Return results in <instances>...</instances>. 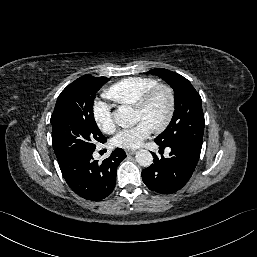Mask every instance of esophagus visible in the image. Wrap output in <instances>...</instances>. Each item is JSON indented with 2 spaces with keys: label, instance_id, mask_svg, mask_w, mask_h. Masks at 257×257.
I'll use <instances>...</instances> for the list:
<instances>
[{
  "label": "esophagus",
  "instance_id": "34e87169",
  "mask_svg": "<svg viewBox=\"0 0 257 257\" xmlns=\"http://www.w3.org/2000/svg\"><path fill=\"white\" fill-rule=\"evenodd\" d=\"M126 154H127L128 156H130V155H134V154H135V151H132V150H126Z\"/></svg>",
  "mask_w": 257,
  "mask_h": 257
}]
</instances>
